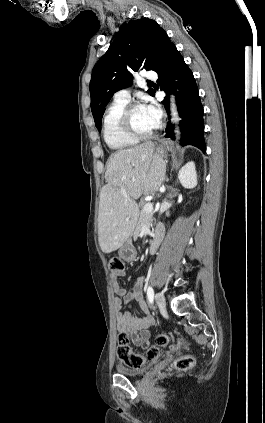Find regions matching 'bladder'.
Here are the masks:
<instances>
[{
    "instance_id": "31cf9c89",
    "label": "bladder",
    "mask_w": 265,
    "mask_h": 423,
    "mask_svg": "<svg viewBox=\"0 0 265 423\" xmlns=\"http://www.w3.org/2000/svg\"><path fill=\"white\" fill-rule=\"evenodd\" d=\"M146 370H147L146 367L132 369V368L124 367L122 365L116 366V371L119 374L124 376H130V377H140L146 372Z\"/></svg>"
}]
</instances>
